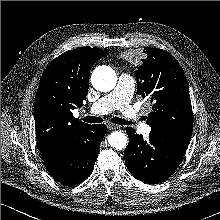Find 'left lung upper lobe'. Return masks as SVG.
I'll list each match as a JSON object with an SVG mask.
<instances>
[{
    "label": "left lung upper lobe",
    "instance_id": "obj_1",
    "mask_svg": "<svg viewBox=\"0 0 220 220\" xmlns=\"http://www.w3.org/2000/svg\"><path fill=\"white\" fill-rule=\"evenodd\" d=\"M136 71L138 94L149 99L152 110L147 117L151 131L189 142L192 134V107L188 83L182 67L168 52L147 48Z\"/></svg>",
    "mask_w": 220,
    "mask_h": 220
}]
</instances>
